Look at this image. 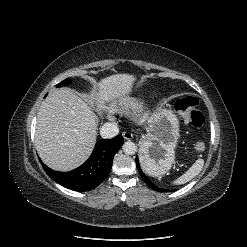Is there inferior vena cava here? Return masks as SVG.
<instances>
[{"label":"inferior vena cava","instance_id":"obj_1","mask_svg":"<svg viewBox=\"0 0 247 247\" xmlns=\"http://www.w3.org/2000/svg\"><path fill=\"white\" fill-rule=\"evenodd\" d=\"M119 133V128L115 123H105L100 128V135L104 139H109L117 136Z\"/></svg>","mask_w":247,"mask_h":247}]
</instances>
